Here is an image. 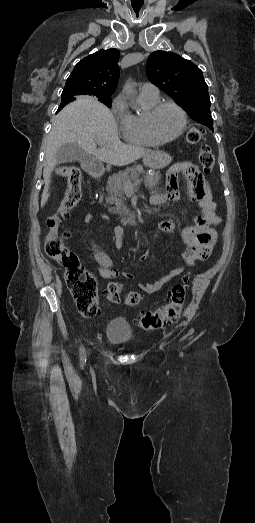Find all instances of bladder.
<instances>
[{
    "mask_svg": "<svg viewBox=\"0 0 255 523\" xmlns=\"http://www.w3.org/2000/svg\"><path fill=\"white\" fill-rule=\"evenodd\" d=\"M133 334L132 327L125 319L111 318L107 324V338L115 343L127 341Z\"/></svg>",
    "mask_w": 255,
    "mask_h": 523,
    "instance_id": "obj_1",
    "label": "bladder"
}]
</instances>
